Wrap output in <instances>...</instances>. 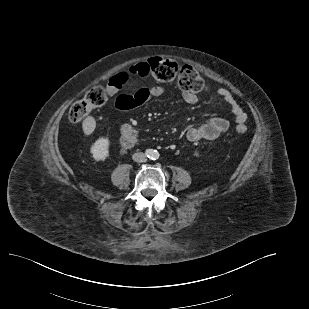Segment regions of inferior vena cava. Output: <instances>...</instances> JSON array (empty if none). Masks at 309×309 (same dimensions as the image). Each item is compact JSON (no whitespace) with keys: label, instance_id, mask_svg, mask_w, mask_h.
<instances>
[{"label":"inferior vena cava","instance_id":"obj_1","mask_svg":"<svg viewBox=\"0 0 309 309\" xmlns=\"http://www.w3.org/2000/svg\"><path fill=\"white\" fill-rule=\"evenodd\" d=\"M132 159L135 162L143 163L147 161V156L143 152H138V153L133 154Z\"/></svg>","mask_w":309,"mask_h":309}]
</instances>
